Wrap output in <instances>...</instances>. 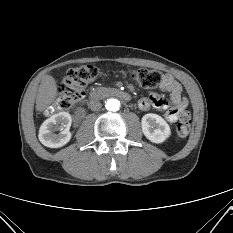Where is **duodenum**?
<instances>
[{
    "label": "duodenum",
    "instance_id": "410a0bca",
    "mask_svg": "<svg viewBox=\"0 0 233 233\" xmlns=\"http://www.w3.org/2000/svg\"><path fill=\"white\" fill-rule=\"evenodd\" d=\"M109 96L117 97V98L123 99L125 101L131 100L130 94H128L127 92L122 91L120 89H96V90H92L88 95V99L90 101H94L96 99L103 98V97H109Z\"/></svg>",
    "mask_w": 233,
    "mask_h": 233
}]
</instances>
